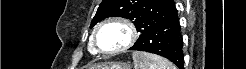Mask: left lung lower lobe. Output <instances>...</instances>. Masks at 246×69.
<instances>
[{
	"mask_svg": "<svg viewBox=\"0 0 246 69\" xmlns=\"http://www.w3.org/2000/svg\"><path fill=\"white\" fill-rule=\"evenodd\" d=\"M183 40L177 11L168 19L146 29L129 50L161 55L183 69Z\"/></svg>",
	"mask_w": 246,
	"mask_h": 69,
	"instance_id": "1",
	"label": "left lung lower lobe"
}]
</instances>
